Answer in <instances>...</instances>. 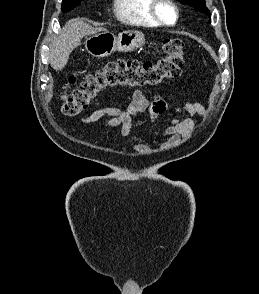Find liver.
<instances>
[{"instance_id": "obj_1", "label": "liver", "mask_w": 259, "mask_h": 294, "mask_svg": "<svg viewBox=\"0 0 259 294\" xmlns=\"http://www.w3.org/2000/svg\"><path fill=\"white\" fill-rule=\"evenodd\" d=\"M103 30L105 29L92 27L82 18L67 22L51 47V67L57 71L62 70L68 62L70 53L80 45L84 36Z\"/></svg>"}]
</instances>
